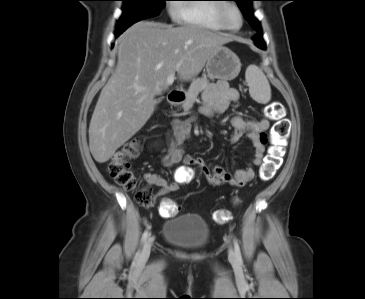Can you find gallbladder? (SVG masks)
Masks as SVG:
<instances>
[{"instance_id":"bac80fb5","label":"gallbladder","mask_w":365,"mask_h":299,"mask_svg":"<svg viewBox=\"0 0 365 299\" xmlns=\"http://www.w3.org/2000/svg\"><path fill=\"white\" fill-rule=\"evenodd\" d=\"M162 101V98L157 99V103H160Z\"/></svg>"}]
</instances>
